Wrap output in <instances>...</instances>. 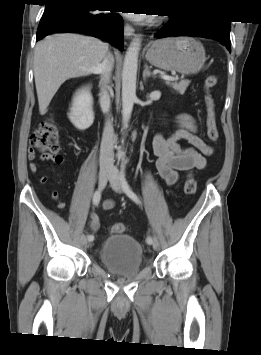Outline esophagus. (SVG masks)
<instances>
[{
    "mask_svg": "<svg viewBox=\"0 0 261 355\" xmlns=\"http://www.w3.org/2000/svg\"><path fill=\"white\" fill-rule=\"evenodd\" d=\"M134 32L135 30L131 25L128 23L124 25V35L127 39H130L134 35Z\"/></svg>",
    "mask_w": 261,
    "mask_h": 355,
    "instance_id": "esophagus-1",
    "label": "esophagus"
}]
</instances>
